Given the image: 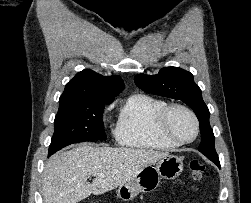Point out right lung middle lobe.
<instances>
[{"instance_id": "obj_1", "label": "right lung middle lobe", "mask_w": 251, "mask_h": 203, "mask_svg": "<svg viewBox=\"0 0 251 203\" xmlns=\"http://www.w3.org/2000/svg\"><path fill=\"white\" fill-rule=\"evenodd\" d=\"M109 103L111 101L60 105L54 120L55 130L48 157L73 143L106 139L102 115L105 105Z\"/></svg>"}]
</instances>
